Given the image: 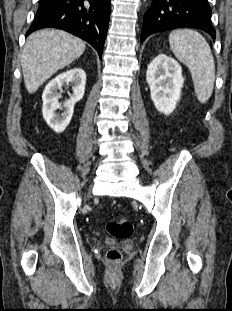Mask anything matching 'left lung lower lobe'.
<instances>
[{"mask_svg":"<svg viewBox=\"0 0 232 311\" xmlns=\"http://www.w3.org/2000/svg\"><path fill=\"white\" fill-rule=\"evenodd\" d=\"M207 0H153L145 13L140 42L151 34L175 28H198L215 39Z\"/></svg>","mask_w":232,"mask_h":311,"instance_id":"1","label":"left lung lower lobe"}]
</instances>
